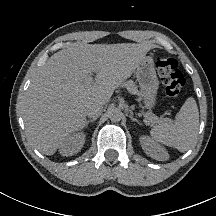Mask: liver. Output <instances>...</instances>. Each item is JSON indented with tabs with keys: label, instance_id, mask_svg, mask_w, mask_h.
Masks as SVG:
<instances>
[{
	"label": "liver",
	"instance_id": "1",
	"mask_svg": "<svg viewBox=\"0 0 216 216\" xmlns=\"http://www.w3.org/2000/svg\"><path fill=\"white\" fill-rule=\"evenodd\" d=\"M152 45L142 43H71L41 67L24 99V121L30 140L53 155L69 133L83 129L86 108L107 103L114 90L145 59ZM97 69L95 81H85Z\"/></svg>",
	"mask_w": 216,
	"mask_h": 216
}]
</instances>
